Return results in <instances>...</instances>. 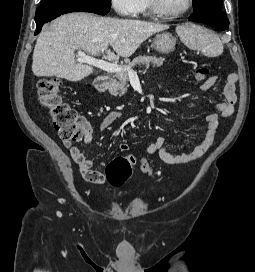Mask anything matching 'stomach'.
Masks as SVG:
<instances>
[{"mask_svg":"<svg viewBox=\"0 0 255 272\" xmlns=\"http://www.w3.org/2000/svg\"><path fill=\"white\" fill-rule=\"evenodd\" d=\"M156 51L162 54H169L175 50L176 38L168 32H160L153 39Z\"/></svg>","mask_w":255,"mask_h":272,"instance_id":"1","label":"stomach"}]
</instances>
